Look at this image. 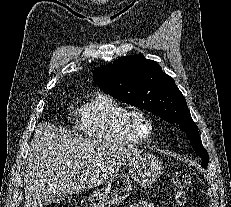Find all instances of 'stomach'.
I'll return each mask as SVG.
<instances>
[{
    "label": "stomach",
    "instance_id": "stomach-1",
    "mask_svg": "<svg viewBox=\"0 0 231 207\" xmlns=\"http://www.w3.org/2000/svg\"><path fill=\"white\" fill-rule=\"evenodd\" d=\"M163 170L160 159L150 153L139 152L131 157L128 175L116 173L105 181L104 186L89 197L91 207H111L124 201L135 185L150 186Z\"/></svg>",
    "mask_w": 231,
    "mask_h": 207
}]
</instances>
